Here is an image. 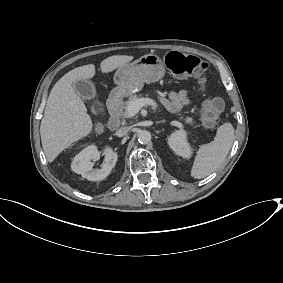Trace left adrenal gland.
<instances>
[{"mask_svg": "<svg viewBox=\"0 0 283 283\" xmlns=\"http://www.w3.org/2000/svg\"><path fill=\"white\" fill-rule=\"evenodd\" d=\"M165 120H161V121H157L156 123L159 124V123H164Z\"/></svg>", "mask_w": 283, "mask_h": 283, "instance_id": "obj_1", "label": "left adrenal gland"}]
</instances>
